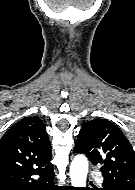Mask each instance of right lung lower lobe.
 <instances>
[{"mask_svg": "<svg viewBox=\"0 0 135 190\" xmlns=\"http://www.w3.org/2000/svg\"><path fill=\"white\" fill-rule=\"evenodd\" d=\"M53 176V165L44 169L3 172L0 190H58L53 184Z\"/></svg>", "mask_w": 135, "mask_h": 190, "instance_id": "98d812e1", "label": "right lung lower lobe"}]
</instances>
